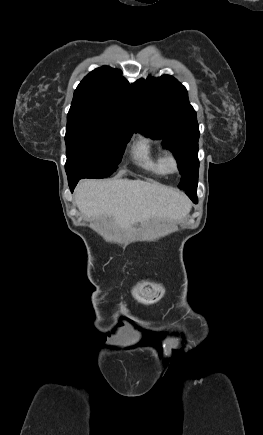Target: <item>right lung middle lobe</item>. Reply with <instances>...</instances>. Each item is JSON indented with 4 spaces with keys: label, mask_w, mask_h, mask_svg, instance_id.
I'll list each match as a JSON object with an SVG mask.
<instances>
[{
    "label": "right lung middle lobe",
    "mask_w": 263,
    "mask_h": 435,
    "mask_svg": "<svg viewBox=\"0 0 263 435\" xmlns=\"http://www.w3.org/2000/svg\"><path fill=\"white\" fill-rule=\"evenodd\" d=\"M133 132L79 114L67 116L68 180L110 176L117 169Z\"/></svg>",
    "instance_id": "1"
}]
</instances>
